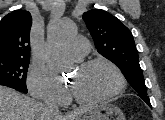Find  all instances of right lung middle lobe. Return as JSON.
I'll return each mask as SVG.
<instances>
[{"label": "right lung middle lobe", "instance_id": "obj_1", "mask_svg": "<svg viewBox=\"0 0 165 120\" xmlns=\"http://www.w3.org/2000/svg\"><path fill=\"white\" fill-rule=\"evenodd\" d=\"M30 59L0 58V85L27 93L26 74Z\"/></svg>", "mask_w": 165, "mask_h": 120}]
</instances>
